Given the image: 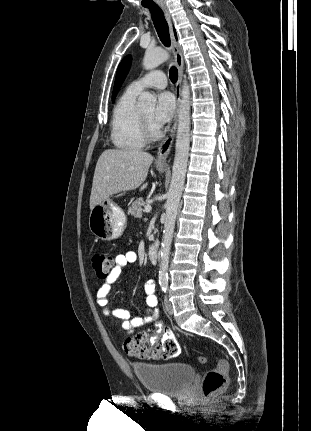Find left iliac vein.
I'll return each instance as SVG.
<instances>
[{
    "mask_svg": "<svg viewBox=\"0 0 311 431\" xmlns=\"http://www.w3.org/2000/svg\"><path fill=\"white\" fill-rule=\"evenodd\" d=\"M164 303H165V310H166V312L168 314H170V315L173 314V306H172V303L170 302V300H169V298H168L167 295L165 296Z\"/></svg>",
    "mask_w": 311,
    "mask_h": 431,
    "instance_id": "1",
    "label": "left iliac vein"
}]
</instances>
